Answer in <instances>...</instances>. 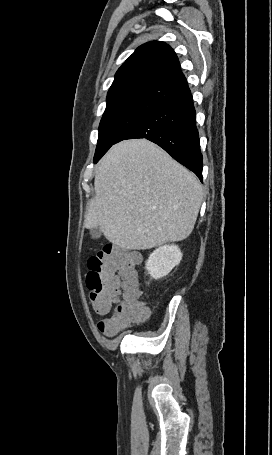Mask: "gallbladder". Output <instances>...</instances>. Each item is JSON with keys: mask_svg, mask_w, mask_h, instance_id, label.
Masks as SVG:
<instances>
[{"mask_svg": "<svg viewBox=\"0 0 272 455\" xmlns=\"http://www.w3.org/2000/svg\"><path fill=\"white\" fill-rule=\"evenodd\" d=\"M90 235L92 238H99L101 236V230L99 228H91Z\"/></svg>", "mask_w": 272, "mask_h": 455, "instance_id": "bac80fb5", "label": "gallbladder"}]
</instances>
